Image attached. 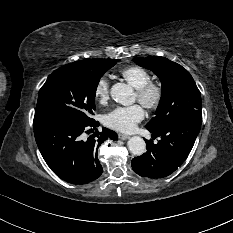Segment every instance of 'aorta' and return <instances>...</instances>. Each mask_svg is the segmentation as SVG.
I'll list each match as a JSON object with an SVG mask.
<instances>
[{
  "label": "aorta",
  "instance_id": "1",
  "mask_svg": "<svg viewBox=\"0 0 233 233\" xmlns=\"http://www.w3.org/2000/svg\"><path fill=\"white\" fill-rule=\"evenodd\" d=\"M110 94L114 101L124 106L131 105L135 101L133 89L124 83L114 84ZM128 148L133 155L141 156L146 151V143L143 138L133 136L128 140Z\"/></svg>",
  "mask_w": 233,
  "mask_h": 233
}]
</instances>
